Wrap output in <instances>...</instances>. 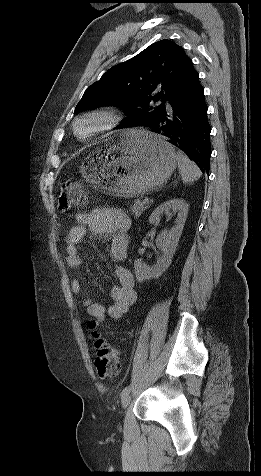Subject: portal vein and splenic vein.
Wrapping results in <instances>:
<instances>
[{"label": "portal vein and splenic vein", "instance_id": "18ae733b", "mask_svg": "<svg viewBox=\"0 0 261 476\" xmlns=\"http://www.w3.org/2000/svg\"><path fill=\"white\" fill-rule=\"evenodd\" d=\"M150 201V198L149 197H145L144 200H143V203L146 204V203H149Z\"/></svg>", "mask_w": 261, "mask_h": 476}]
</instances>
